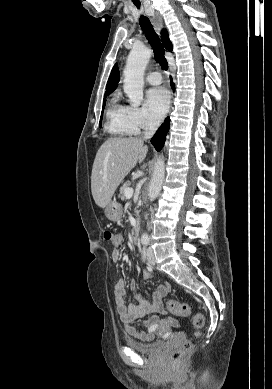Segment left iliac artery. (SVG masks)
I'll list each match as a JSON object with an SVG mask.
<instances>
[{
	"label": "left iliac artery",
	"instance_id": "1",
	"mask_svg": "<svg viewBox=\"0 0 272 389\" xmlns=\"http://www.w3.org/2000/svg\"><path fill=\"white\" fill-rule=\"evenodd\" d=\"M143 244H145V245L149 244V239L143 240Z\"/></svg>",
	"mask_w": 272,
	"mask_h": 389
}]
</instances>
